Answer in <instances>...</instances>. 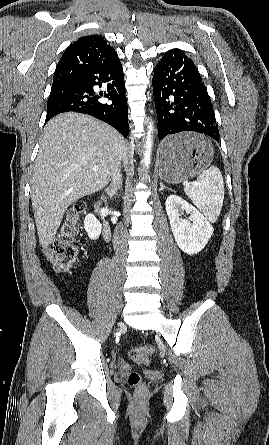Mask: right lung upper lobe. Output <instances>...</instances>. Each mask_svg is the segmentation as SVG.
I'll list each match as a JSON object with an SVG mask.
<instances>
[{
  "mask_svg": "<svg viewBox=\"0 0 269 445\" xmlns=\"http://www.w3.org/2000/svg\"><path fill=\"white\" fill-rule=\"evenodd\" d=\"M116 51L101 35H88L71 44L57 64L53 87L68 86L84 72L117 58Z\"/></svg>",
  "mask_w": 269,
  "mask_h": 445,
  "instance_id": "cb5924a9",
  "label": "right lung upper lobe"
}]
</instances>
